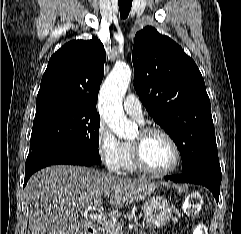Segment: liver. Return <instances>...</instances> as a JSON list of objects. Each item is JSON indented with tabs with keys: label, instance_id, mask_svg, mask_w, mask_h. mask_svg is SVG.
<instances>
[{
	"label": "liver",
	"instance_id": "obj_1",
	"mask_svg": "<svg viewBox=\"0 0 241 234\" xmlns=\"http://www.w3.org/2000/svg\"><path fill=\"white\" fill-rule=\"evenodd\" d=\"M157 186L148 179L119 177L87 167H47L32 175L24 189L28 234H78L79 213L103 197L113 207L108 215L117 217L119 210L149 197Z\"/></svg>",
	"mask_w": 241,
	"mask_h": 234
}]
</instances>
